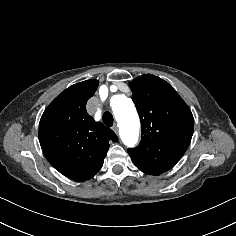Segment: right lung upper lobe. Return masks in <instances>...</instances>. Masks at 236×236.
Segmentation results:
<instances>
[{
	"mask_svg": "<svg viewBox=\"0 0 236 236\" xmlns=\"http://www.w3.org/2000/svg\"><path fill=\"white\" fill-rule=\"evenodd\" d=\"M99 82L87 80L74 84L56 97L44 111L39 124L41 148L64 176L85 181L102 167L109 141L116 134L86 112L87 100Z\"/></svg>",
	"mask_w": 236,
	"mask_h": 236,
	"instance_id": "cb5924a9",
	"label": "right lung upper lobe"
}]
</instances>
